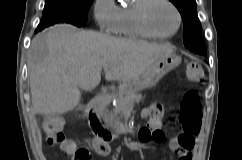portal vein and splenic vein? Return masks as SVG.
<instances>
[{
  "label": "portal vein and splenic vein",
  "instance_id": "obj_1",
  "mask_svg": "<svg viewBox=\"0 0 242 160\" xmlns=\"http://www.w3.org/2000/svg\"><path fill=\"white\" fill-rule=\"evenodd\" d=\"M109 68H110L109 65H105V66H103L104 71H107Z\"/></svg>",
  "mask_w": 242,
  "mask_h": 160
}]
</instances>
